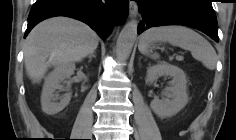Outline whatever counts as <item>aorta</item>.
Masks as SVG:
<instances>
[{"label":"aorta","instance_id":"obj_1","mask_svg":"<svg viewBox=\"0 0 236 140\" xmlns=\"http://www.w3.org/2000/svg\"><path fill=\"white\" fill-rule=\"evenodd\" d=\"M138 23L135 20L128 22L121 30L116 43V57L125 61L130 56L137 38Z\"/></svg>","mask_w":236,"mask_h":140}]
</instances>
